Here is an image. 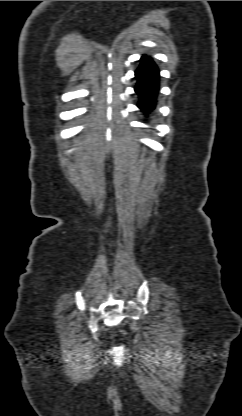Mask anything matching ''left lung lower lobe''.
<instances>
[{
  "mask_svg": "<svg viewBox=\"0 0 242 416\" xmlns=\"http://www.w3.org/2000/svg\"><path fill=\"white\" fill-rule=\"evenodd\" d=\"M141 64L135 72L138 82L135 92L139 96L137 106L148 116L156 107V98L159 91V70L151 58L142 56Z\"/></svg>",
  "mask_w": 242,
  "mask_h": 416,
  "instance_id": "obj_1",
  "label": "left lung lower lobe"
}]
</instances>
